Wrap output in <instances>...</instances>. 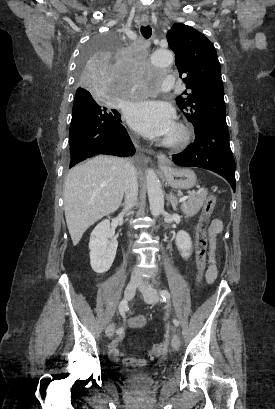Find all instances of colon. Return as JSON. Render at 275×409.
<instances>
[{"mask_svg": "<svg viewBox=\"0 0 275 409\" xmlns=\"http://www.w3.org/2000/svg\"><path fill=\"white\" fill-rule=\"evenodd\" d=\"M216 205V197L210 195L205 201L203 208L200 212L199 222L197 226V231L195 234V244H196V267L199 276L203 275L206 267V251H207V236L206 229L209 225L211 214ZM163 348L161 342H153L151 344V350L149 355L151 358H158L160 352Z\"/></svg>", "mask_w": 275, "mask_h": 409, "instance_id": "5ec220e1", "label": "colon"}]
</instances>
